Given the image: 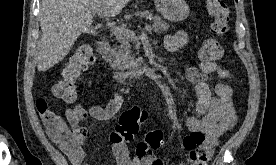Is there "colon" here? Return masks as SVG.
Segmentation results:
<instances>
[{
	"label": "colon",
	"mask_w": 276,
	"mask_h": 165,
	"mask_svg": "<svg viewBox=\"0 0 276 165\" xmlns=\"http://www.w3.org/2000/svg\"><path fill=\"white\" fill-rule=\"evenodd\" d=\"M206 9L211 18V36L201 45L200 58L203 61H216L223 55L221 38L229 29V8L223 0H207ZM94 55L89 46H81L70 57L60 78L53 85L55 97L65 102L74 101L79 94V84L82 73L93 63ZM40 116L46 118L50 125V136L63 145H71L75 141V134L62 123L61 118L52 112L44 99L36 103ZM148 113L139 107H133L121 115L115 130L111 134L113 143L132 140L139 131L140 125L147 119ZM205 142V136L199 132L187 135L183 140L184 148L191 152L199 149ZM163 143V133L160 130H149L143 140L138 143L137 151L143 154L153 153Z\"/></svg>",
	"instance_id": "1"
}]
</instances>
